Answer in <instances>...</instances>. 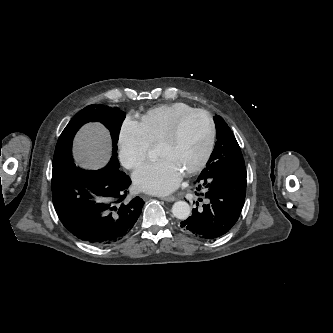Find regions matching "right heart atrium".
Listing matches in <instances>:
<instances>
[{"instance_id":"d8ad5b80","label":"right heart atrium","mask_w":333,"mask_h":333,"mask_svg":"<svg viewBox=\"0 0 333 333\" xmlns=\"http://www.w3.org/2000/svg\"><path fill=\"white\" fill-rule=\"evenodd\" d=\"M117 146L121 163L127 169H135L147 158L152 142L142 123L128 115L119 128Z\"/></svg>"}]
</instances>
